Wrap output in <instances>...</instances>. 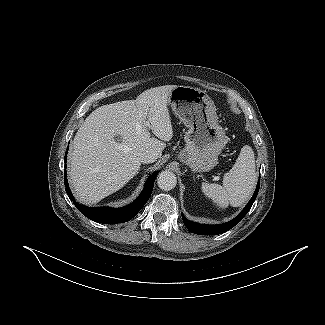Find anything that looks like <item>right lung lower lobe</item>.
<instances>
[{
  "instance_id": "1",
  "label": "right lung lower lobe",
  "mask_w": 325,
  "mask_h": 325,
  "mask_svg": "<svg viewBox=\"0 0 325 325\" xmlns=\"http://www.w3.org/2000/svg\"><path fill=\"white\" fill-rule=\"evenodd\" d=\"M67 154V152H66ZM65 163H66V155H65ZM159 171L153 173L145 183V187L137 199L130 203L127 206L121 208H109V207H86L77 203L74 200V197L71 195V191L68 187L67 182V173L64 172V183L65 190L69 195L73 204L81 211L87 218L99 222V223H123L131 220L133 217L137 215V213L141 210V208L146 204L148 199L151 196L153 185Z\"/></svg>"
}]
</instances>
